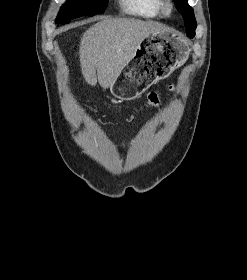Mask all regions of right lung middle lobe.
I'll use <instances>...</instances> for the list:
<instances>
[{"label": "right lung middle lobe", "mask_w": 247, "mask_h": 280, "mask_svg": "<svg viewBox=\"0 0 247 280\" xmlns=\"http://www.w3.org/2000/svg\"><path fill=\"white\" fill-rule=\"evenodd\" d=\"M108 0H68L58 13L57 23L66 24L70 20L81 16H94L101 14Z\"/></svg>", "instance_id": "right-lung-middle-lobe-1"}]
</instances>
